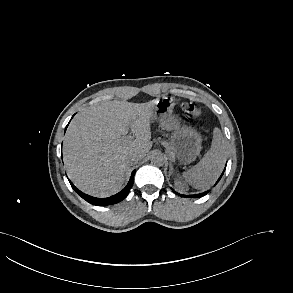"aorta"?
Listing matches in <instances>:
<instances>
[{"label":"aorta","mask_w":293,"mask_h":293,"mask_svg":"<svg viewBox=\"0 0 293 293\" xmlns=\"http://www.w3.org/2000/svg\"><path fill=\"white\" fill-rule=\"evenodd\" d=\"M166 161V157L162 153H155L151 157V162L154 165L162 166Z\"/></svg>","instance_id":"obj_1"}]
</instances>
